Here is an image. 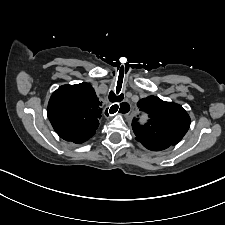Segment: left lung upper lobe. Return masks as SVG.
Returning a JSON list of instances; mask_svg holds the SVG:
<instances>
[{"mask_svg":"<svg viewBox=\"0 0 225 225\" xmlns=\"http://www.w3.org/2000/svg\"><path fill=\"white\" fill-rule=\"evenodd\" d=\"M140 110L149 115L148 122L140 126L137 119L132 121V129L137 140L171 146L184 137L190 127V117L183 107L149 96L137 103Z\"/></svg>","mask_w":225,"mask_h":225,"instance_id":"obj_1","label":"left lung upper lobe"}]
</instances>
